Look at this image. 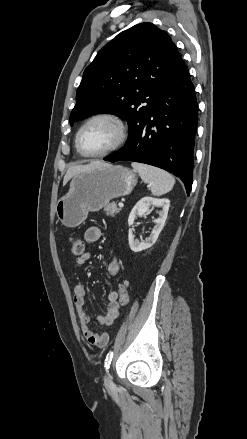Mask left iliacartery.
Instances as JSON below:
<instances>
[{"label": "left iliac artery", "instance_id": "left-iliac-artery-1", "mask_svg": "<svg viewBox=\"0 0 247 439\" xmlns=\"http://www.w3.org/2000/svg\"><path fill=\"white\" fill-rule=\"evenodd\" d=\"M112 357H113V352L110 351V352L107 354L106 359H105V362H104L106 370H108L109 367H110Z\"/></svg>", "mask_w": 247, "mask_h": 439}]
</instances>
